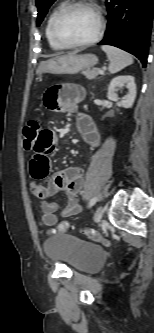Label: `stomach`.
Wrapping results in <instances>:
<instances>
[{"mask_svg": "<svg viewBox=\"0 0 154 333\" xmlns=\"http://www.w3.org/2000/svg\"><path fill=\"white\" fill-rule=\"evenodd\" d=\"M98 63L94 54H68L48 61H43L37 68V74H77L80 71L90 69Z\"/></svg>", "mask_w": 154, "mask_h": 333, "instance_id": "0dacf381", "label": "stomach"}]
</instances>
